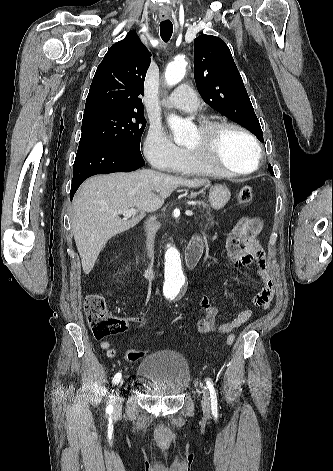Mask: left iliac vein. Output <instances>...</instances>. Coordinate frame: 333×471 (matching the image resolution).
I'll use <instances>...</instances> for the list:
<instances>
[{
  "label": "left iliac vein",
  "instance_id": "4c4485c4",
  "mask_svg": "<svg viewBox=\"0 0 333 471\" xmlns=\"http://www.w3.org/2000/svg\"><path fill=\"white\" fill-rule=\"evenodd\" d=\"M202 409L205 415L210 414V397L206 389L202 390Z\"/></svg>",
  "mask_w": 333,
  "mask_h": 471
}]
</instances>
